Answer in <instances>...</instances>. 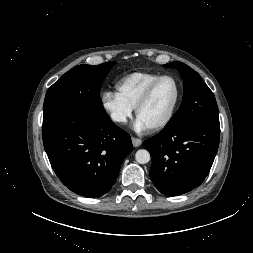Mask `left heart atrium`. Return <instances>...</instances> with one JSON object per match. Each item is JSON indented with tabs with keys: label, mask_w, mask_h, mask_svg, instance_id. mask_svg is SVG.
I'll use <instances>...</instances> for the list:
<instances>
[{
	"label": "left heart atrium",
	"mask_w": 253,
	"mask_h": 253,
	"mask_svg": "<svg viewBox=\"0 0 253 253\" xmlns=\"http://www.w3.org/2000/svg\"><path fill=\"white\" fill-rule=\"evenodd\" d=\"M135 128L138 131H144L148 129L138 118L135 121Z\"/></svg>",
	"instance_id": "1"
}]
</instances>
